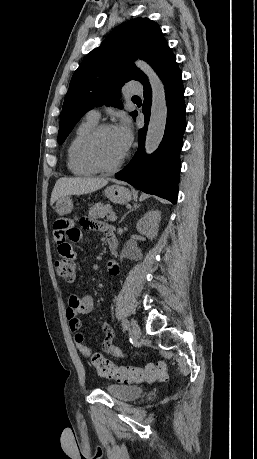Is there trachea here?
<instances>
[{
    "label": "trachea",
    "instance_id": "obj_1",
    "mask_svg": "<svg viewBox=\"0 0 257 459\" xmlns=\"http://www.w3.org/2000/svg\"><path fill=\"white\" fill-rule=\"evenodd\" d=\"M134 98H138V96H134Z\"/></svg>",
    "mask_w": 257,
    "mask_h": 459
}]
</instances>
